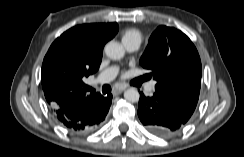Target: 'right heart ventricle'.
<instances>
[{"mask_svg":"<svg viewBox=\"0 0 244 157\" xmlns=\"http://www.w3.org/2000/svg\"><path fill=\"white\" fill-rule=\"evenodd\" d=\"M121 39H122V43L129 42V41H135L140 44L142 41V33L138 29L129 28L124 31Z\"/></svg>","mask_w":244,"mask_h":157,"instance_id":"right-heart-ventricle-1","label":"right heart ventricle"}]
</instances>
